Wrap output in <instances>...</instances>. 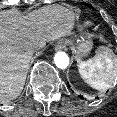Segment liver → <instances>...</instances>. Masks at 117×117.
Masks as SVG:
<instances>
[{
  "label": "liver",
  "instance_id": "liver-1",
  "mask_svg": "<svg viewBox=\"0 0 117 117\" xmlns=\"http://www.w3.org/2000/svg\"><path fill=\"white\" fill-rule=\"evenodd\" d=\"M77 14L61 5L44 6L28 15L0 11V103L23 90L33 53L72 34Z\"/></svg>",
  "mask_w": 117,
  "mask_h": 117
}]
</instances>
